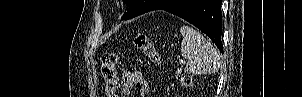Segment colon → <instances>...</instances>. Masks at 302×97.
Wrapping results in <instances>:
<instances>
[{
    "label": "colon",
    "instance_id": "5ec220e1",
    "mask_svg": "<svg viewBox=\"0 0 302 97\" xmlns=\"http://www.w3.org/2000/svg\"><path fill=\"white\" fill-rule=\"evenodd\" d=\"M135 46L145 54L152 62L159 63V54L152 41L142 32H138L134 39ZM118 54L115 52H107L101 58V72L104 80V89L108 97L114 96L118 88L117 63ZM178 81L182 85L191 83L190 75L182 70L177 71Z\"/></svg>",
    "mask_w": 302,
    "mask_h": 97
}]
</instances>
